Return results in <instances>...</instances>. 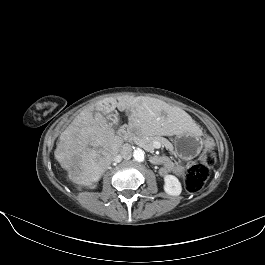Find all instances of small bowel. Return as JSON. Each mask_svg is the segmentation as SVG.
Here are the masks:
<instances>
[{
  "instance_id": "small-bowel-1",
  "label": "small bowel",
  "mask_w": 265,
  "mask_h": 265,
  "mask_svg": "<svg viewBox=\"0 0 265 265\" xmlns=\"http://www.w3.org/2000/svg\"><path fill=\"white\" fill-rule=\"evenodd\" d=\"M155 161L161 164L160 174L163 176L170 172H175L176 174L180 175L184 171V168L181 164H176L167 157H157Z\"/></svg>"
}]
</instances>
